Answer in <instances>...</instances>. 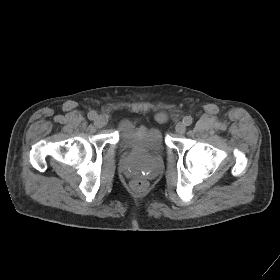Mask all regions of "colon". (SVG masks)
<instances>
[{"mask_svg":"<svg viewBox=\"0 0 280 280\" xmlns=\"http://www.w3.org/2000/svg\"><path fill=\"white\" fill-rule=\"evenodd\" d=\"M146 182L142 179H137L133 182V187L136 189V190H144L146 188Z\"/></svg>","mask_w":280,"mask_h":280,"instance_id":"5ec220e1","label":"colon"}]
</instances>
